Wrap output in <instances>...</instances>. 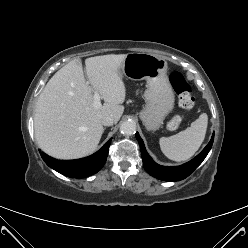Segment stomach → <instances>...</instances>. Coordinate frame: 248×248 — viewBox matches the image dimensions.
<instances>
[{
  "instance_id": "0dacf381",
  "label": "stomach",
  "mask_w": 248,
  "mask_h": 248,
  "mask_svg": "<svg viewBox=\"0 0 248 248\" xmlns=\"http://www.w3.org/2000/svg\"><path fill=\"white\" fill-rule=\"evenodd\" d=\"M119 73L131 80H146V105L140 112V119L148 131L158 130L172 111L175 100L167 77V62L153 54L129 53Z\"/></svg>"
}]
</instances>
